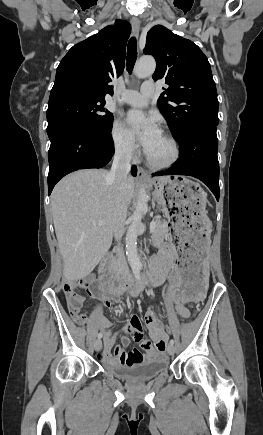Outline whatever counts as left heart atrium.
I'll use <instances>...</instances> for the list:
<instances>
[{
    "label": "left heart atrium",
    "mask_w": 263,
    "mask_h": 435,
    "mask_svg": "<svg viewBox=\"0 0 263 435\" xmlns=\"http://www.w3.org/2000/svg\"><path fill=\"white\" fill-rule=\"evenodd\" d=\"M126 123L129 133L143 146L146 153L152 150L162 136L155 119L140 111L129 112Z\"/></svg>",
    "instance_id": "39dd6f15"
}]
</instances>
